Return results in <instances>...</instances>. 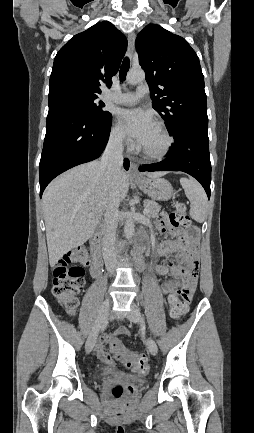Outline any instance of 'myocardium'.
<instances>
[{
    "label": "myocardium",
    "instance_id": "1",
    "mask_svg": "<svg viewBox=\"0 0 254 433\" xmlns=\"http://www.w3.org/2000/svg\"><path fill=\"white\" fill-rule=\"evenodd\" d=\"M155 126L159 129L161 134L164 136L165 144L161 150L156 151V152L149 151V150L140 146L139 150L142 153V155L145 158L150 159V160L163 159L171 151L173 144H174V139H173L172 135L170 134V132L168 131V129L165 127V125L162 122H159V121L156 122Z\"/></svg>",
    "mask_w": 254,
    "mask_h": 433
}]
</instances>
